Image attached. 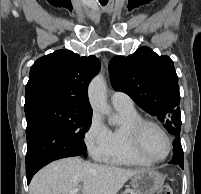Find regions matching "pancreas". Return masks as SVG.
Returning a JSON list of instances; mask_svg holds the SVG:
<instances>
[{
    "instance_id": "cf45deb5",
    "label": "pancreas",
    "mask_w": 201,
    "mask_h": 194,
    "mask_svg": "<svg viewBox=\"0 0 201 194\" xmlns=\"http://www.w3.org/2000/svg\"><path fill=\"white\" fill-rule=\"evenodd\" d=\"M123 194H128L127 192H124Z\"/></svg>"
}]
</instances>
